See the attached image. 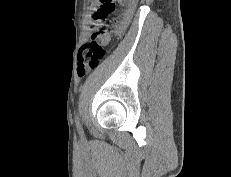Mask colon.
I'll list each match as a JSON object with an SVG mask.
<instances>
[{
	"label": "colon",
	"mask_w": 231,
	"mask_h": 177,
	"mask_svg": "<svg viewBox=\"0 0 231 177\" xmlns=\"http://www.w3.org/2000/svg\"><path fill=\"white\" fill-rule=\"evenodd\" d=\"M116 1L98 0L99 7L93 12L90 24L92 34L89 41L80 47L77 54V71L81 77L96 69L105 56L104 43L112 32V21L108 18L115 10ZM118 1L127 3L130 6L129 12H131L136 0Z\"/></svg>",
	"instance_id": "5ec220e1"
}]
</instances>
